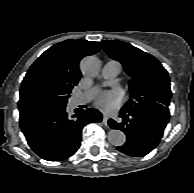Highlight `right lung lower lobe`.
<instances>
[{"label": "right lung lower lobe", "instance_id": "right-lung-lower-lobe-1", "mask_svg": "<svg viewBox=\"0 0 194 193\" xmlns=\"http://www.w3.org/2000/svg\"><path fill=\"white\" fill-rule=\"evenodd\" d=\"M64 108L37 109L20 112V127L31 149L48 161H60L80 147L83 127L100 122L102 114L88 108L70 119Z\"/></svg>", "mask_w": 194, "mask_h": 193}]
</instances>
